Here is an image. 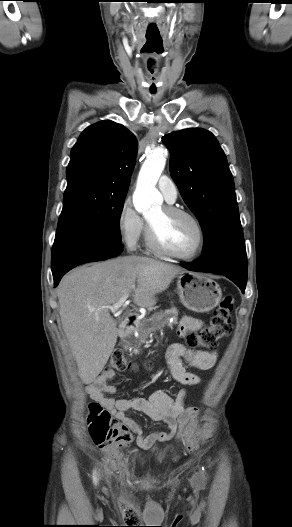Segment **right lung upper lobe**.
<instances>
[{
  "label": "right lung upper lobe",
  "mask_w": 292,
  "mask_h": 527,
  "mask_svg": "<svg viewBox=\"0 0 292 527\" xmlns=\"http://www.w3.org/2000/svg\"><path fill=\"white\" fill-rule=\"evenodd\" d=\"M137 142L132 132L110 120L86 128L71 151L68 185H89L127 192Z\"/></svg>",
  "instance_id": "1"
}]
</instances>
